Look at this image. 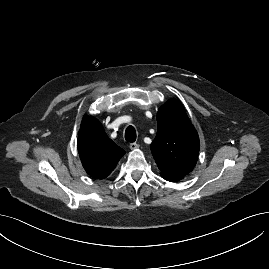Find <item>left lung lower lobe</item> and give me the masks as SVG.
<instances>
[{
	"label": "left lung lower lobe",
	"mask_w": 269,
	"mask_h": 269,
	"mask_svg": "<svg viewBox=\"0 0 269 269\" xmlns=\"http://www.w3.org/2000/svg\"><path fill=\"white\" fill-rule=\"evenodd\" d=\"M165 180L170 181V182H176L181 180L182 178H175V177H164L162 176Z\"/></svg>",
	"instance_id": "left-lung-lower-lobe-1"
}]
</instances>
